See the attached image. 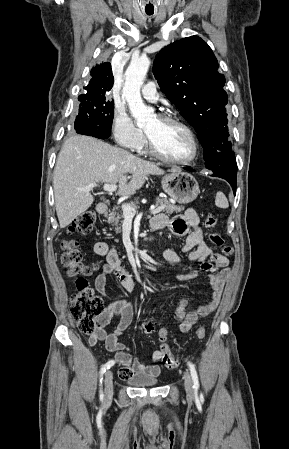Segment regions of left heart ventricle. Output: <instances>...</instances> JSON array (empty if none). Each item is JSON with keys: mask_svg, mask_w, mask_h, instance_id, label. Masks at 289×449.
<instances>
[{"mask_svg": "<svg viewBox=\"0 0 289 449\" xmlns=\"http://www.w3.org/2000/svg\"><path fill=\"white\" fill-rule=\"evenodd\" d=\"M157 148L166 156L174 159H187L192 155L193 147L188 134L181 127L152 119L145 127Z\"/></svg>", "mask_w": 289, "mask_h": 449, "instance_id": "obj_1", "label": "left heart ventricle"}]
</instances>
